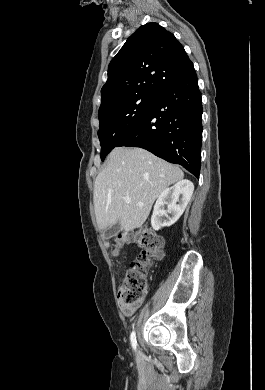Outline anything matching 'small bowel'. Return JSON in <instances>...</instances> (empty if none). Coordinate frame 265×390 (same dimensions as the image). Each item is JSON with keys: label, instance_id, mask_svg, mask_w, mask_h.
Here are the masks:
<instances>
[{"label": "small bowel", "instance_id": "obj_1", "mask_svg": "<svg viewBox=\"0 0 265 390\" xmlns=\"http://www.w3.org/2000/svg\"><path fill=\"white\" fill-rule=\"evenodd\" d=\"M142 300L132 304V305H122L120 304V309L123 312L124 315L126 316H131L134 312L138 310V308L141 306Z\"/></svg>", "mask_w": 265, "mask_h": 390}]
</instances>
